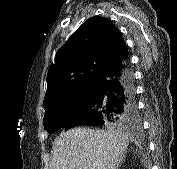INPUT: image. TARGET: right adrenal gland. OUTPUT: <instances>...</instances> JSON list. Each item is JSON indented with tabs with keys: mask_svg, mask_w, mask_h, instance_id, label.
Here are the masks:
<instances>
[{
	"mask_svg": "<svg viewBox=\"0 0 177 169\" xmlns=\"http://www.w3.org/2000/svg\"><path fill=\"white\" fill-rule=\"evenodd\" d=\"M122 162H120L118 165H117V169L121 166Z\"/></svg>",
	"mask_w": 177,
	"mask_h": 169,
	"instance_id": "right-adrenal-gland-1",
	"label": "right adrenal gland"
}]
</instances>
